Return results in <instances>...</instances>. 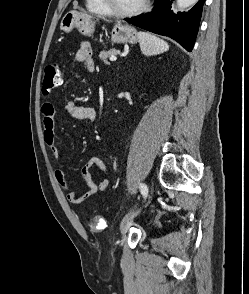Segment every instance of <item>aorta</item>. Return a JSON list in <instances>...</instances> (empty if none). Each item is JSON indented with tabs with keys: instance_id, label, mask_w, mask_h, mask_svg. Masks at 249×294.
Returning a JSON list of instances; mask_svg holds the SVG:
<instances>
[{
	"instance_id": "762f6f07",
	"label": "aorta",
	"mask_w": 249,
	"mask_h": 294,
	"mask_svg": "<svg viewBox=\"0 0 249 294\" xmlns=\"http://www.w3.org/2000/svg\"><path fill=\"white\" fill-rule=\"evenodd\" d=\"M198 0H177V6L180 9H185L197 3Z\"/></svg>"
}]
</instances>
